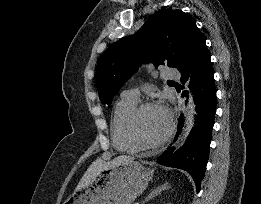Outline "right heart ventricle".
Here are the masks:
<instances>
[{"instance_id":"e07e8e85","label":"right heart ventricle","mask_w":261,"mask_h":204,"mask_svg":"<svg viewBox=\"0 0 261 204\" xmlns=\"http://www.w3.org/2000/svg\"><path fill=\"white\" fill-rule=\"evenodd\" d=\"M138 102L121 98L111 115V140L116 150L123 153H134L138 147L128 138L125 124L129 114L137 106Z\"/></svg>"}]
</instances>
